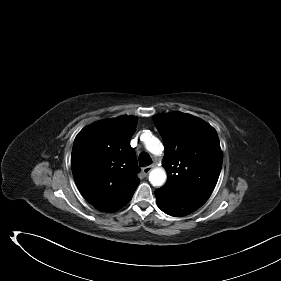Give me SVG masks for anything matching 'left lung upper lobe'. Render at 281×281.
Instances as JSON below:
<instances>
[{
  "label": "left lung upper lobe",
  "instance_id": "1",
  "mask_svg": "<svg viewBox=\"0 0 281 281\" xmlns=\"http://www.w3.org/2000/svg\"><path fill=\"white\" fill-rule=\"evenodd\" d=\"M165 147L164 187L189 191L208 200L222 167L223 154L216 130L202 119L182 112L153 117Z\"/></svg>",
  "mask_w": 281,
  "mask_h": 281
}]
</instances>
